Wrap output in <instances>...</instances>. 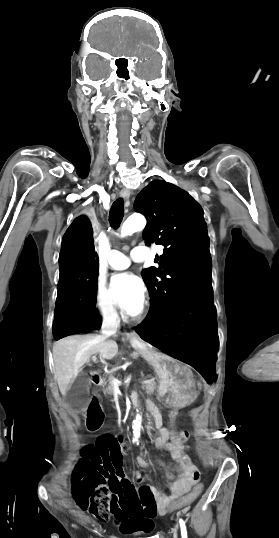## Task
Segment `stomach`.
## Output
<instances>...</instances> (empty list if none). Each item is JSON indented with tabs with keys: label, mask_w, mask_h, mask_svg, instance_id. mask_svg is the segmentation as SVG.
I'll return each mask as SVG.
<instances>
[{
	"label": "stomach",
	"mask_w": 279,
	"mask_h": 538,
	"mask_svg": "<svg viewBox=\"0 0 279 538\" xmlns=\"http://www.w3.org/2000/svg\"><path fill=\"white\" fill-rule=\"evenodd\" d=\"M148 362L159 374L155 397L161 400L163 408L168 409L171 405L176 409L187 408L196 401L198 390L192 386V369L187 363L171 358L170 353L158 352L149 353Z\"/></svg>",
	"instance_id": "obj_1"
}]
</instances>
